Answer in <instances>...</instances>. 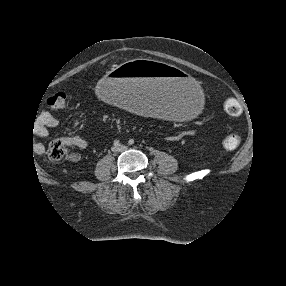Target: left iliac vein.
<instances>
[{"instance_id": "left-iliac-vein-1", "label": "left iliac vein", "mask_w": 286, "mask_h": 286, "mask_svg": "<svg viewBox=\"0 0 286 286\" xmlns=\"http://www.w3.org/2000/svg\"><path fill=\"white\" fill-rule=\"evenodd\" d=\"M127 149V146H125V145H121L120 147H119V150L120 151H125Z\"/></svg>"}]
</instances>
